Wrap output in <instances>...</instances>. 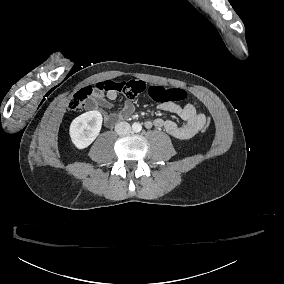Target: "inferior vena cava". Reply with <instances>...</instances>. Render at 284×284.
Returning <instances> with one entry per match:
<instances>
[{"instance_id":"1","label":"inferior vena cava","mask_w":284,"mask_h":284,"mask_svg":"<svg viewBox=\"0 0 284 284\" xmlns=\"http://www.w3.org/2000/svg\"><path fill=\"white\" fill-rule=\"evenodd\" d=\"M115 131L119 135L129 134L131 132V126L128 122H119L115 125Z\"/></svg>"}]
</instances>
